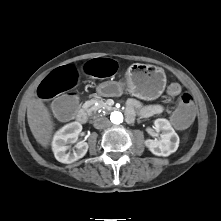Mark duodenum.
I'll use <instances>...</instances> for the list:
<instances>
[{
  "label": "duodenum",
  "instance_id": "410a0bca",
  "mask_svg": "<svg viewBox=\"0 0 221 221\" xmlns=\"http://www.w3.org/2000/svg\"><path fill=\"white\" fill-rule=\"evenodd\" d=\"M129 120L132 119V116H127ZM76 120L80 123H85L87 121V114L84 110H78L76 114Z\"/></svg>",
  "mask_w": 221,
  "mask_h": 221
}]
</instances>
